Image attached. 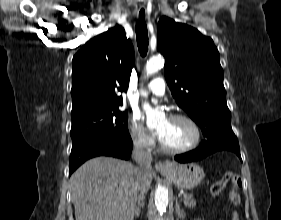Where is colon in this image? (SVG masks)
I'll use <instances>...</instances> for the list:
<instances>
[{"label": "colon", "mask_w": 281, "mask_h": 220, "mask_svg": "<svg viewBox=\"0 0 281 220\" xmlns=\"http://www.w3.org/2000/svg\"><path fill=\"white\" fill-rule=\"evenodd\" d=\"M230 182L232 190L230 192V202L233 208H236L240 203V197L237 193V189L240 186V176L234 172H226L218 181L212 184L210 193L212 196H218L225 188L226 184ZM232 220H239L238 214L235 210L232 212Z\"/></svg>", "instance_id": "1"}]
</instances>
